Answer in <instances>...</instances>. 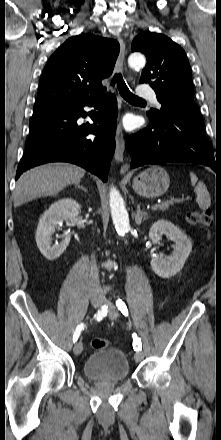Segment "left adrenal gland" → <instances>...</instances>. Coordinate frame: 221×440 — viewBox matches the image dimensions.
Returning a JSON list of instances; mask_svg holds the SVG:
<instances>
[{
  "mask_svg": "<svg viewBox=\"0 0 221 440\" xmlns=\"http://www.w3.org/2000/svg\"><path fill=\"white\" fill-rule=\"evenodd\" d=\"M147 216V213L140 209V205H137V211L135 214V223L140 225L142 223L143 218Z\"/></svg>",
  "mask_w": 221,
  "mask_h": 440,
  "instance_id": "left-adrenal-gland-1",
  "label": "left adrenal gland"
}]
</instances>
